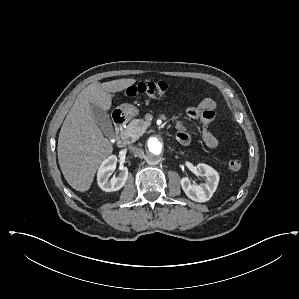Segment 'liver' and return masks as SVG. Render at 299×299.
Masks as SVG:
<instances>
[{
  "label": "liver",
  "mask_w": 299,
  "mask_h": 299,
  "mask_svg": "<svg viewBox=\"0 0 299 299\" xmlns=\"http://www.w3.org/2000/svg\"><path fill=\"white\" fill-rule=\"evenodd\" d=\"M135 82V79L94 82L77 96L61 127L57 147L60 169L73 189L88 191L100 164L113 151L111 141L103 136L94 119L91 105L109 110L110 93L123 91Z\"/></svg>",
  "instance_id": "6515ba94"
}]
</instances>
